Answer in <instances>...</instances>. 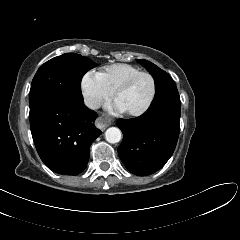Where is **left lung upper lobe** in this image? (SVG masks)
Wrapping results in <instances>:
<instances>
[{
	"label": "left lung upper lobe",
	"instance_id": "left-lung-upper-lobe-1",
	"mask_svg": "<svg viewBox=\"0 0 240 240\" xmlns=\"http://www.w3.org/2000/svg\"><path fill=\"white\" fill-rule=\"evenodd\" d=\"M137 61L146 67L155 79L156 95L153 100V105L161 103L180 104L177 87L170 75L147 60L138 59Z\"/></svg>",
	"mask_w": 240,
	"mask_h": 240
}]
</instances>
